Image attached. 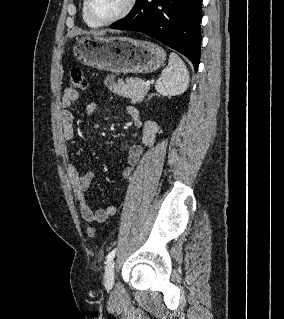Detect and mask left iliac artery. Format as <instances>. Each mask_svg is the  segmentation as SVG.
I'll list each match as a JSON object with an SVG mask.
<instances>
[{"label":"left iliac artery","mask_w":284,"mask_h":319,"mask_svg":"<svg viewBox=\"0 0 284 319\" xmlns=\"http://www.w3.org/2000/svg\"><path fill=\"white\" fill-rule=\"evenodd\" d=\"M115 252L116 250L113 249L108 255H107V262H109L110 260H112L115 256Z\"/></svg>","instance_id":"obj_1"}]
</instances>
